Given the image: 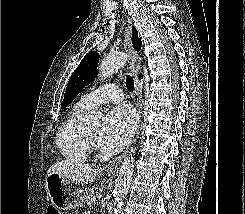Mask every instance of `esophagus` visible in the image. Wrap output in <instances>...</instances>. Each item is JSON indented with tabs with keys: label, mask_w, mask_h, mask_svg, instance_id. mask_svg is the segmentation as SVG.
<instances>
[{
	"label": "esophagus",
	"mask_w": 245,
	"mask_h": 214,
	"mask_svg": "<svg viewBox=\"0 0 245 214\" xmlns=\"http://www.w3.org/2000/svg\"><path fill=\"white\" fill-rule=\"evenodd\" d=\"M131 27H132V22L131 19L127 17L125 21V26H124V49L126 53L128 54V68L130 70V73L134 77L135 81V89H134V102L135 105L138 109V122H141V117H142V104H143V99L141 95V85L138 81V72H139V62H138V56L137 52L133 49L132 47V40H131ZM127 155V152H124L121 154L118 158H116L113 161V165L121 162Z\"/></svg>",
	"instance_id": "1"
}]
</instances>
